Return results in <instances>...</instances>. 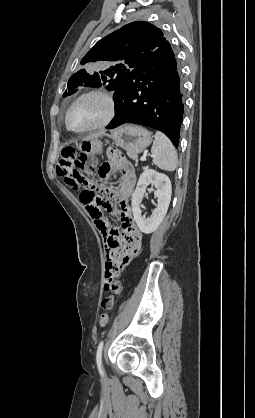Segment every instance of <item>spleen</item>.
<instances>
[{
  "label": "spleen",
  "mask_w": 255,
  "mask_h": 418,
  "mask_svg": "<svg viewBox=\"0 0 255 418\" xmlns=\"http://www.w3.org/2000/svg\"><path fill=\"white\" fill-rule=\"evenodd\" d=\"M153 164L166 171H174L177 167L176 150L166 135L157 131L151 148Z\"/></svg>",
  "instance_id": "1"
}]
</instances>
